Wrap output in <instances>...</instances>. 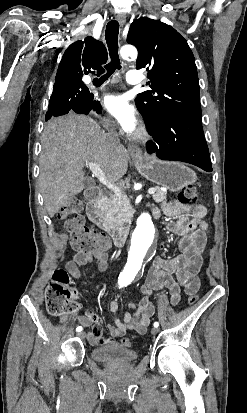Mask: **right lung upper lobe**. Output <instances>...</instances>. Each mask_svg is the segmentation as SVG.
<instances>
[{
    "mask_svg": "<svg viewBox=\"0 0 247 413\" xmlns=\"http://www.w3.org/2000/svg\"><path fill=\"white\" fill-rule=\"evenodd\" d=\"M108 59L104 44L93 37L76 41L65 51L56 74L55 83L81 81L83 74L104 72L101 67Z\"/></svg>",
    "mask_w": 247,
    "mask_h": 413,
    "instance_id": "cb5924a9",
    "label": "right lung upper lobe"
}]
</instances>
